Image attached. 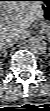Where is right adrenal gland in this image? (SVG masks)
Listing matches in <instances>:
<instances>
[{
  "mask_svg": "<svg viewBox=\"0 0 50 111\" xmlns=\"http://www.w3.org/2000/svg\"><path fill=\"white\" fill-rule=\"evenodd\" d=\"M7 48H9V46ZM7 48L5 47L3 50H1V54H3L4 57L7 56Z\"/></svg>",
  "mask_w": 50,
  "mask_h": 111,
  "instance_id": "obj_1",
  "label": "right adrenal gland"
}]
</instances>
